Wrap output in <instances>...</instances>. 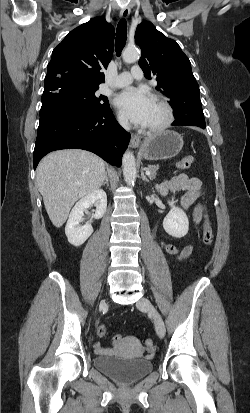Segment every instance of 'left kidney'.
<instances>
[{"label": "left kidney", "mask_w": 250, "mask_h": 413, "mask_svg": "<svg viewBox=\"0 0 250 413\" xmlns=\"http://www.w3.org/2000/svg\"><path fill=\"white\" fill-rule=\"evenodd\" d=\"M170 212L163 220V228L172 237H184L189 230V221L186 213L174 205V201H169Z\"/></svg>", "instance_id": "obj_1"}]
</instances>
